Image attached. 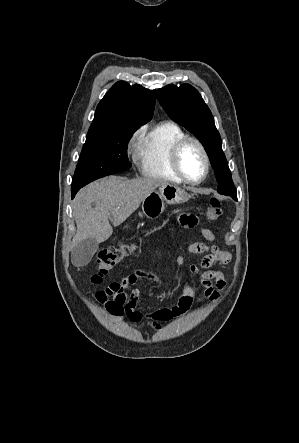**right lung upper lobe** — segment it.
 <instances>
[{"label":"right lung upper lobe","instance_id":"1","mask_svg":"<svg viewBox=\"0 0 299 443\" xmlns=\"http://www.w3.org/2000/svg\"><path fill=\"white\" fill-rule=\"evenodd\" d=\"M155 101V90L119 81L98 104L87 135L114 128L139 127L152 118Z\"/></svg>","mask_w":299,"mask_h":443}]
</instances>
